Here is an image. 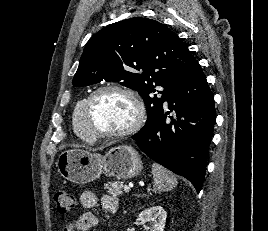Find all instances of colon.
<instances>
[{
    "instance_id": "5ec220e1",
    "label": "colon",
    "mask_w": 268,
    "mask_h": 231,
    "mask_svg": "<svg viewBox=\"0 0 268 231\" xmlns=\"http://www.w3.org/2000/svg\"><path fill=\"white\" fill-rule=\"evenodd\" d=\"M58 213H67L76 205V197L67 191H58L54 196Z\"/></svg>"
}]
</instances>
